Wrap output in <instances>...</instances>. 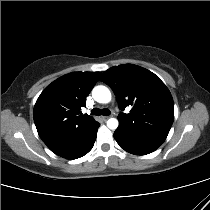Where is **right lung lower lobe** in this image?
I'll list each match as a JSON object with an SVG mask.
<instances>
[{
	"instance_id": "right-lung-lower-lobe-1",
	"label": "right lung lower lobe",
	"mask_w": 210,
	"mask_h": 210,
	"mask_svg": "<svg viewBox=\"0 0 210 210\" xmlns=\"http://www.w3.org/2000/svg\"><path fill=\"white\" fill-rule=\"evenodd\" d=\"M98 127H99V124L88 136L78 140L68 149L62 151L61 153L57 155L64 157L66 159H77L87 154L94 145Z\"/></svg>"
}]
</instances>
